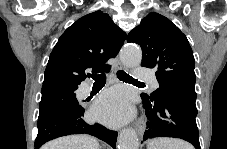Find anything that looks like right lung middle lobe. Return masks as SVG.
<instances>
[{"instance_id":"1","label":"right lung middle lobe","mask_w":227,"mask_h":149,"mask_svg":"<svg viewBox=\"0 0 227 149\" xmlns=\"http://www.w3.org/2000/svg\"><path fill=\"white\" fill-rule=\"evenodd\" d=\"M78 86L69 84H55L42 88V98L39 104V118L45 117L54 111L69 109L81 110L75 96Z\"/></svg>"}]
</instances>
